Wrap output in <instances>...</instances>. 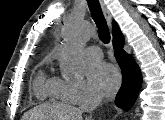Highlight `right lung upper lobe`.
<instances>
[{
  "label": "right lung upper lobe",
  "instance_id": "obj_1",
  "mask_svg": "<svg viewBox=\"0 0 165 120\" xmlns=\"http://www.w3.org/2000/svg\"><path fill=\"white\" fill-rule=\"evenodd\" d=\"M112 28H113V41H116L120 38H124L118 24L115 21H113L112 23Z\"/></svg>",
  "mask_w": 165,
  "mask_h": 120
}]
</instances>
